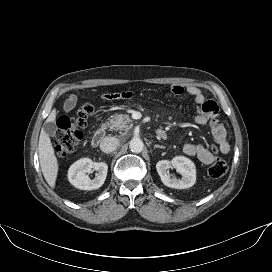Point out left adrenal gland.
<instances>
[{
	"label": "left adrenal gland",
	"mask_w": 272,
	"mask_h": 272,
	"mask_svg": "<svg viewBox=\"0 0 272 272\" xmlns=\"http://www.w3.org/2000/svg\"><path fill=\"white\" fill-rule=\"evenodd\" d=\"M154 148H164V147L160 145H154Z\"/></svg>",
	"instance_id": "obj_1"
}]
</instances>
